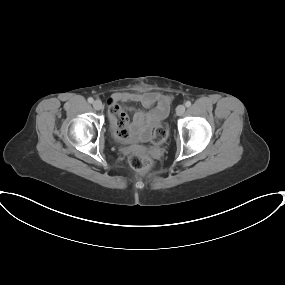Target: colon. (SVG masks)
Returning <instances> with one entry per match:
<instances>
[{
    "instance_id": "colon-1",
    "label": "colon",
    "mask_w": 285,
    "mask_h": 285,
    "mask_svg": "<svg viewBox=\"0 0 285 285\" xmlns=\"http://www.w3.org/2000/svg\"><path fill=\"white\" fill-rule=\"evenodd\" d=\"M112 112L118 116L117 122L115 124L116 132L120 137H125L127 134V128L125 121L119 117V112L113 109ZM168 135V129L166 125L159 124L153 132V144H159L165 140ZM130 167L139 172H147L152 168L153 162L151 158L141 153H133L128 159Z\"/></svg>"
}]
</instances>
